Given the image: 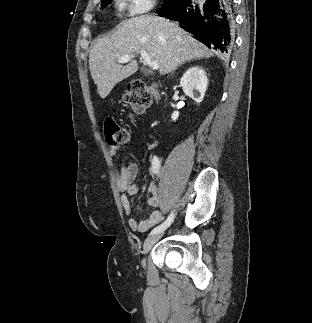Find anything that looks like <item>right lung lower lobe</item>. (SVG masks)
<instances>
[{"instance_id":"1","label":"right lung lower lobe","mask_w":312,"mask_h":323,"mask_svg":"<svg viewBox=\"0 0 312 323\" xmlns=\"http://www.w3.org/2000/svg\"><path fill=\"white\" fill-rule=\"evenodd\" d=\"M234 9L233 0H180L173 7L157 13L177 21L207 47L229 53L234 41Z\"/></svg>"}]
</instances>
